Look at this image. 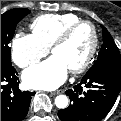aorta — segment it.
<instances>
[{
    "mask_svg": "<svg viewBox=\"0 0 121 121\" xmlns=\"http://www.w3.org/2000/svg\"><path fill=\"white\" fill-rule=\"evenodd\" d=\"M68 97L66 95H59L55 98V104L59 109H64L68 106Z\"/></svg>",
    "mask_w": 121,
    "mask_h": 121,
    "instance_id": "1",
    "label": "aorta"
}]
</instances>
